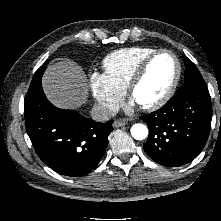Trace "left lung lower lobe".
Masks as SVG:
<instances>
[{"label": "left lung lower lobe", "mask_w": 221, "mask_h": 221, "mask_svg": "<svg viewBox=\"0 0 221 221\" xmlns=\"http://www.w3.org/2000/svg\"><path fill=\"white\" fill-rule=\"evenodd\" d=\"M149 127L146 153L157 163L177 167L193 160L204 148L212 119L206 86L176 94L159 110L141 116Z\"/></svg>", "instance_id": "left-lung-lower-lobe-1"}]
</instances>
